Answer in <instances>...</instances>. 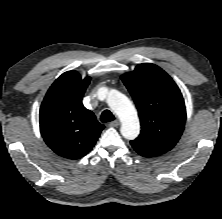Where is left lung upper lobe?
<instances>
[{
  "label": "left lung upper lobe",
  "instance_id": "1",
  "mask_svg": "<svg viewBox=\"0 0 222 219\" xmlns=\"http://www.w3.org/2000/svg\"><path fill=\"white\" fill-rule=\"evenodd\" d=\"M121 79L140 117L141 133L133 142L171 150L178 142L186 120L184 99L175 82L151 63L139 64Z\"/></svg>",
  "mask_w": 222,
  "mask_h": 219
}]
</instances>
